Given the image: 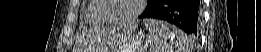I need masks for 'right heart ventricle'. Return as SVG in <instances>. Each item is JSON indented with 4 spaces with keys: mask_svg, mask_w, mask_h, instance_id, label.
<instances>
[{
    "mask_svg": "<svg viewBox=\"0 0 261 52\" xmlns=\"http://www.w3.org/2000/svg\"><path fill=\"white\" fill-rule=\"evenodd\" d=\"M103 7L102 0H89L84 10L85 19L92 24H108L107 20L101 15Z\"/></svg>",
    "mask_w": 261,
    "mask_h": 52,
    "instance_id": "obj_1",
    "label": "right heart ventricle"
}]
</instances>
